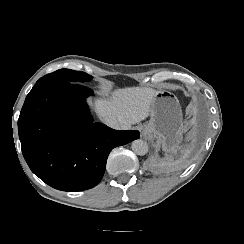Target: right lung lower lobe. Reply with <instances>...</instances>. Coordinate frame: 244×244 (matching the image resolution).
Segmentation results:
<instances>
[{"mask_svg":"<svg viewBox=\"0 0 244 244\" xmlns=\"http://www.w3.org/2000/svg\"><path fill=\"white\" fill-rule=\"evenodd\" d=\"M93 91L79 83L35 85L22 107L18 131L23 156L34 174L53 188L82 191L103 177L110 151L140 137L93 123L85 103Z\"/></svg>","mask_w":244,"mask_h":244,"instance_id":"98d812e1","label":"right lung lower lobe"}]
</instances>
